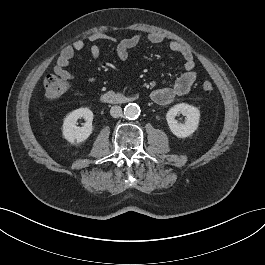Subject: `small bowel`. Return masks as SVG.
Segmentation results:
<instances>
[{"label":"small bowel","instance_id":"c3829d8e","mask_svg":"<svg viewBox=\"0 0 265 265\" xmlns=\"http://www.w3.org/2000/svg\"><path fill=\"white\" fill-rule=\"evenodd\" d=\"M88 40L92 43L90 46V54L93 59H98L101 55V49L98 45L99 41H107L116 43V37L104 33L97 32L88 36ZM165 41L164 35L160 33H151L145 35L143 33L134 34L117 43L116 53L120 60L126 61L130 57V52L142 43L161 44ZM85 44L82 40H76L72 45L66 46L61 51L56 65L54 66V73L62 79L72 81L75 75L69 70V65L75 53L83 50ZM168 48L171 52L179 54L184 60V72L169 86H164L155 89L152 94V100L158 105L171 104L176 98L187 94L195 81L197 80V73L195 70V61L191 49L185 45L180 44L175 40L168 43ZM88 82H94L95 77H88Z\"/></svg>","mask_w":265,"mask_h":265}]
</instances>
